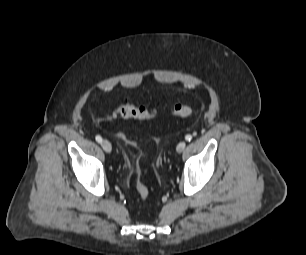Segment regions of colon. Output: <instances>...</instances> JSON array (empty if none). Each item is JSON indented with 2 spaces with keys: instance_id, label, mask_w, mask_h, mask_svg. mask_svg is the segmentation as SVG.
Instances as JSON below:
<instances>
[{
  "instance_id": "1",
  "label": "colon",
  "mask_w": 306,
  "mask_h": 255,
  "mask_svg": "<svg viewBox=\"0 0 306 255\" xmlns=\"http://www.w3.org/2000/svg\"><path fill=\"white\" fill-rule=\"evenodd\" d=\"M168 113L173 116L178 117H189L192 115L193 110L192 108L185 103H176L173 104ZM113 114L115 116H119L122 118H132L138 120H151L159 117L161 112L155 108H149L145 106H137L130 102H122L117 105L114 110ZM117 136L123 140L125 143L134 146L139 149V153L136 157V180H135V187L137 193L142 201H146L149 197V189L144 184L143 178V169L141 166V161L146 157V150L145 148L136 140L130 138L124 132H117Z\"/></svg>"
}]
</instances>
